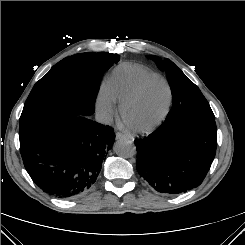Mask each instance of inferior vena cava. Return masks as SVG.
<instances>
[{
  "instance_id": "1",
  "label": "inferior vena cava",
  "mask_w": 245,
  "mask_h": 245,
  "mask_svg": "<svg viewBox=\"0 0 245 245\" xmlns=\"http://www.w3.org/2000/svg\"><path fill=\"white\" fill-rule=\"evenodd\" d=\"M95 119L97 122L105 125L110 124L112 122L111 116L103 112L96 113Z\"/></svg>"
}]
</instances>
